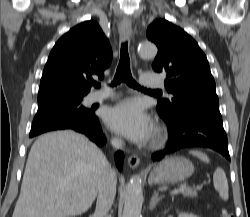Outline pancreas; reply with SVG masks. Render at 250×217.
<instances>
[{"label":"pancreas","mask_w":250,"mask_h":217,"mask_svg":"<svg viewBox=\"0 0 250 217\" xmlns=\"http://www.w3.org/2000/svg\"><path fill=\"white\" fill-rule=\"evenodd\" d=\"M181 193L185 197H197L198 196L197 191L196 190H192V189H187V190L181 191Z\"/></svg>","instance_id":"cf45deb5"}]
</instances>
